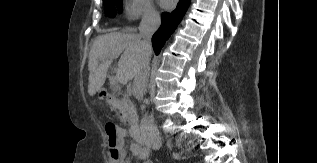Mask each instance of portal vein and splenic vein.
I'll return each instance as SVG.
<instances>
[{
  "instance_id": "portal-vein-and-splenic-vein-1",
  "label": "portal vein and splenic vein",
  "mask_w": 317,
  "mask_h": 163,
  "mask_svg": "<svg viewBox=\"0 0 317 163\" xmlns=\"http://www.w3.org/2000/svg\"><path fill=\"white\" fill-rule=\"evenodd\" d=\"M118 82H120V76L117 73L116 76H111L110 77V83L111 84H117Z\"/></svg>"
}]
</instances>
